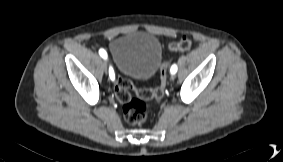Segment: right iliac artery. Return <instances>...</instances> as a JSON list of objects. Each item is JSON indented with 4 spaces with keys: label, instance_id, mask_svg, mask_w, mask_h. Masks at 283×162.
<instances>
[{
    "label": "right iliac artery",
    "instance_id": "82829eb1",
    "mask_svg": "<svg viewBox=\"0 0 283 162\" xmlns=\"http://www.w3.org/2000/svg\"><path fill=\"white\" fill-rule=\"evenodd\" d=\"M99 54H100V56H101L102 58H104V59L107 58V53H106V51H105L104 49H100V50H99ZM109 75H110V78H111L112 80H114V72H113V69H112V68H110V70H109Z\"/></svg>",
    "mask_w": 283,
    "mask_h": 162
}]
</instances>
